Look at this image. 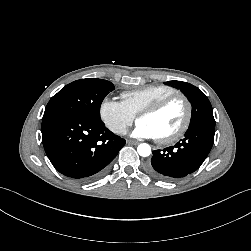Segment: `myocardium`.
I'll return each instance as SVG.
<instances>
[{"mask_svg": "<svg viewBox=\"0 0 251 251\" xmlns=\"http://www.w3.org/2000/svg\"><path fill=\"white\" fill-rule=\"evenodd\" d=\"M177 99H180L185 105L186 112H185L184 120L181 126L178 128V130H176L174 133L165 137L157 138V141L160 144H171L179 140L181 137L184 136V134L189 129L191 120H192V104L189 98L181 92H175L171 95H168L162 98L161 100L147 107L146 109H144L138 114V120L144 116L157 114L160 111H162L164 108H166L170 103H172L173 101Z\"/></svg>", "mask_w": 251, "mask_h": 251, "instance_id": "1", "label": "myocardium"}]
</instances>
